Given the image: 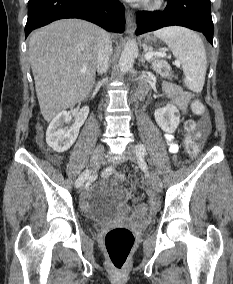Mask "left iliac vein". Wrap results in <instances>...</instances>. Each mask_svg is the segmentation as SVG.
Returning <instances> with one entry per match:
<instances>
[{"label": "left iliac vein", "instance_id": "left-iliac-vein-1", "mask_svg": "<svg viewBox=\"0 0 233 284\" xmlns=\"http://www.w3.org/2000/svg\"><path fill=\"white\" fill-rule=\"evenodd\" d=\"M126 155L128 156L130 160L135 161L140 165L145 164L143 155L139 152L138 148L134 145H129L127 147ZM150 183H151L152 189L155 192L159 193L162 191V187H163L162 181L159 175L155 171L151 172Z\"/></svg>", "mask_w": 233, "mask_h": 284}]
</instances>
